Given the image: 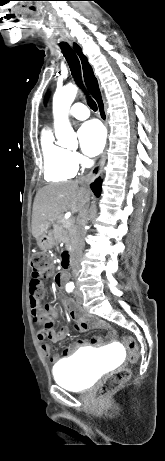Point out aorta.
<instances>
[{
	"instance_id": "762f6f07",
	"label": "aorta",
	"mask_w": 165,
	"mask_h": 461,
	"mask_svg": "<svg viewBox=\"0 0 165 461\" xmlns=\"http://www.w3.org/2000/svg\"><path fill=\"white\" fill-rule=\"evenodd\" d=\"M77 87L68 84L57 90L53 97L54 129L58 144L68 149L78 146L77 136L68 119V111L77 95Z\"/></svg>"
}]
</instances>
